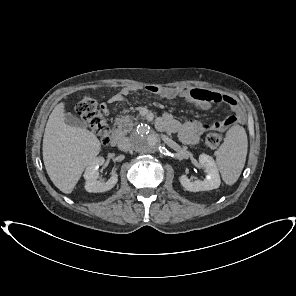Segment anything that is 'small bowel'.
<instances>
[{
    "label": "small bowel",
    "mask_w": 296,
    "mask_h": 296,
    "mask_svg": "<svg viewBox=\"0 0 296 296\" xmlns=\"http://www.w3.org/2000/svg\"><path fill=\"white\" fill-rule=\"evenodd\" d=\"M147 90L154 93L164 99L181 98L186 102L192 103L197 109L206 110L211 107L212 104H223L228 106L233 115H230L222 120L215 121L213 123H203L195 119H189L185 123H180L172 117V115L166 113L158 121L157 125L160 129L161 125L167 127V131L177 132L180 140L185 144H196L200 140L201 136L209 130L223 131L230 126L241 123L244 121V112L239 105L238 101L226 94L213 92L202 88H158L156 86H148ZM131 88H123L120 92L112 95L108 103H114L124 100L126 96L131 93ZM108 103L102 104L104 113H108Z\"/></svg>",
    "instance_id": "c3829d8e"
}]
</instances>
